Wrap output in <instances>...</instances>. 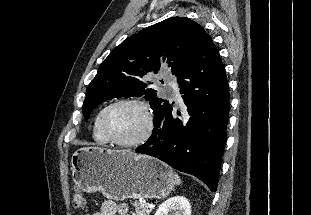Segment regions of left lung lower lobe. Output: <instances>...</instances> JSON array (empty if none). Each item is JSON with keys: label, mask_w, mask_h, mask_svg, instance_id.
Segmentation results:
<instances>
[{"label": "left lung lower lobe", "mask_w": 311, "mask_h": 215, "mask_svg": "<svg viewBox=\"0 0 311 215\" xmlns=\"http://www.w3.org/2000/svg\"><path fill=\"white\" fill-rule=\"evenodd\" d=\"M176 77L183 112L173 114L168 102L155 117L151 137L136 152L192 174L216 191L227 139L229 91L224 65L208 35Z\"/></svg>", "instance_id": "0a47b994"}]
</instances>
